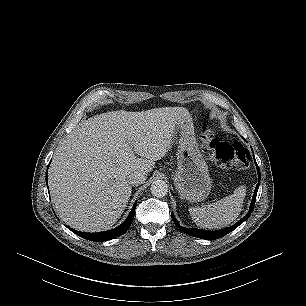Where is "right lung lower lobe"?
Returning <instances> with one entry per match:
<instances>
[{"instance_id": "98d812e1", "label": "right lung lower lobe", "mask_w": 306, "mask_h": 306, "mask_svg": "<svg viewBox=\"0 0 306 306\" xmlns=\"http://www.w3.org/2000/svg\"><path fill=\"white\" fill-rule=\"evenodd\" d=\"M46 173H47V171H46ZM46 183H47V175H46ZM136 205H137V203H135L133 205V208H132L129 216L126 218V220L119 227H117L115 229L105 231V232H99V233H83V232L73 230L71 228H68V229H70L72 232L79 235L80 237H83V238H85L87 240H91V241H106V240L116 238V237L124 234L129 229V227L131 226V224L133 222V218H134V212H135Z\"/></svg>"}]
</instances>
